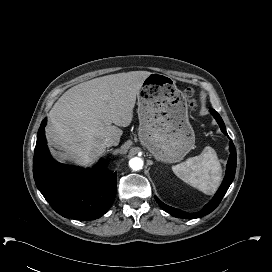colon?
<instances>
[{
	"instance_id": "colon-1",
	"label": "colon",
	"mask_w": 272,
	"mask_h": 272,
	"mask_svg": "<svg viewBox=\"0 0 272 272\" xmlns=\"http://www.w3.org/2000/svg\"><path fill=\"white\" fill-rule=\"evenodd\" d=\"M183 98L188 102L190 107L194 108L196 106L192 89H185L183 92Z\"/></svg>"
}]
</instances>
